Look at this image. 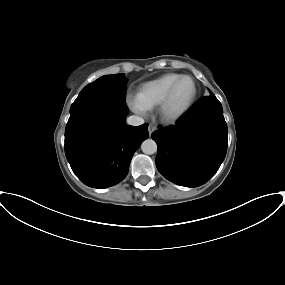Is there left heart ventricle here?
<instances>
[{"label":"left heart ventricle","mask_w":285,"mask_h":285,"mask_svg":"<svg viewBox=\"0 0 285 285\" xmlns=\"http://www.w3.org/2000/svg\"><path fill=\"white\" fill-rule=\"evenodd\" d=\"M194 91L193 82L190 79H183L177 86L171 101L172 111L182 109L191 99Z\"/></svg>","instance_id":"1"}]
</instances>
